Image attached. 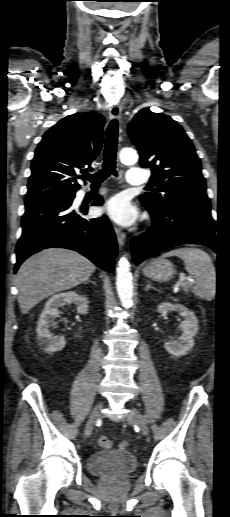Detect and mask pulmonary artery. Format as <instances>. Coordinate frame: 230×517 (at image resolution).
<instances>
[{
    "instance_id": "1",
    "label": "pulmonary artery",
    "mask_w": 230,
    "mask_h": 517,
    "mask_svg": "<svg viewBox=\"0 0 230 517\" xmlns=\"http://www.w3.org/2000/svg\"><path fill=\"white\" fill-rule=\"evenodd\" d=\"M129 185H142L148 181V175L143 169H129L126 176Z\"/></svg>"
}]
</instances>
